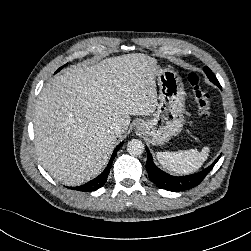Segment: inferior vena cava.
Returning <instances> with one entry per match:
<instances>
[{"label": "inferior vena cava", "mask_w": 251, "mask_h": 251, "mask_svg": "<svg viewBox=\"0 0 251 251\" xmlns=\"http://www.w3.org/2000/svg\"><path fill=\"white\" fill-rule=\"evenodd\" d=\"M110 130H111L112 134H114L116 136H119L122 133L121 126L118 124H115V123L110 127Z\"/></svg>", "instance_id": "1"}]
</instances>
